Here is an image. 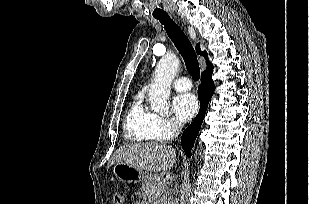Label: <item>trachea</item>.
<instances>
[{
    "instance_id": "trachea-1",
    "label": "trachea",
    "mask_w": 309,
    "mask_h": 204,
    "mask_svg": "<svg viewBox=\"0 0 309 204\" xmlns=\"http://www.w3.org/2000/svg\"><path fill=\"white\" fill-rule=\"evenodd\" d=\"M155 18L164 25L168 36L183 57L189 74L194 80H199L200 68L198 59L187 36L168 15H160Z\"/></svg>"
}]
</instances>
